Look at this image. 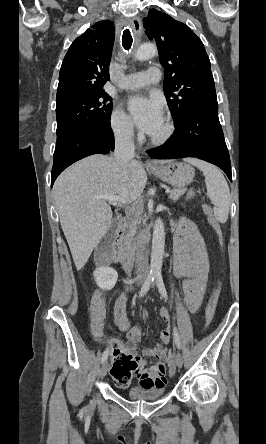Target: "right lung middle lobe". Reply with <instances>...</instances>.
<instances>
[{
  "instance_id": "right-lung-middle-lobe-1",
  "label": "right lung middle lobe",
  "mask_w": 266,
  "mask_h": 444,
  "mask_svg": "<svg viewBox=\"0 0 266 444\" xmlns=\"http://www.w3.org/2000/svg\"><path fill=\"white\" fill-rule=\"evenodd\" d=\"M112 99L103 89L77 92L57 99V144L73 134L110 125Z\"/></svg>"
}]
</instances>
